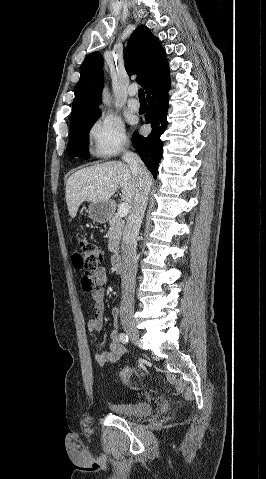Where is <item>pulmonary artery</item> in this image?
I'll return each instance as SVG.
<instances>
[{"instance_id": "pulmonary-artery-1", "label": "pulmonary artery", "mask_w": 266, "mask_h": 479, "mask_svg": "<svg viewBox=\"0 0 266 479\" xmlns=\"http://www.w3.org/2000/svg\"><path fill=\"white\" fill-rule=\"evenodd\" d=\"M128 94H129V96H130V98H129L128 102H127V106H128V108H129V110L132 111V112L138 111L139 108H140V104H139V101L134 98V95L136 94V91L130 89V90L128 91Z\"/></svg>"}]
</instances>
